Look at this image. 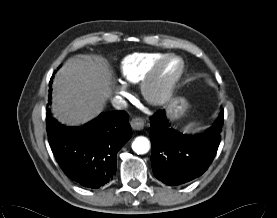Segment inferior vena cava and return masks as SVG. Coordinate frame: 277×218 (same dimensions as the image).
Here are the masks:
<instances>
[{
    "label": "inferior vena cava",
    "mask_w": 277,
    "mask_h": 218,
    "mask_svg": "<svg viewBox=\"0 0 277 218\" xmlns=\"http://www.w3.org/2000/svg\"><path fill=\"white\" fill-rule=\"evenodd\" d=\"M112 105L117 110L126 109L127 106H128L127 102L125 100L121 99V98H114L112 100Z\"/></svg>",
    "instance_id": "obj_1"
}]
</instances>
